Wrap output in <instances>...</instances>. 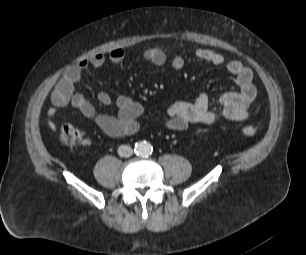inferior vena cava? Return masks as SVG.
Instances as JSON below:
<instances>
[{"instance_id":"602c4592","label":"inferior vena cava","mask_w":306,"mask_h":255,"mask_svg":"<svg viewBox=\"0 0 306 255\" xmlns=\"http://www.w3.org/2000/svg\"><path fill=\"white\" fill-rule=\"evenodd\" d=\"M133 154V149L128 145H121L118 148V155L120 157H130Z\"/></svg>"}]
</instances>
